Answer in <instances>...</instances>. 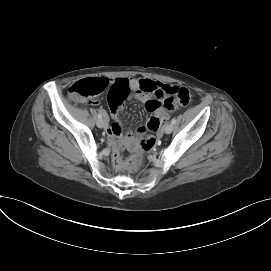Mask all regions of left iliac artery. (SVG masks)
<instances>
[{"label": "left iliac artery", "instance_id": "obj_1", "mask_svg": "<svg viewBox=\"0 0 271 271\" xmlns=\"http://www.w3.org/2000/svg\"><path fill=\"white\" fill-rule=\"evenodd\" d=\"M176 122H177L176 118H173V119L171 120V123H172L173 125L176 124Z\"/></svg>", "mask_w": 271, "mask_h": 271}]
</instances>
